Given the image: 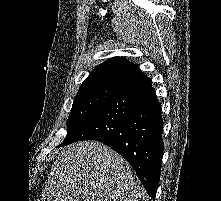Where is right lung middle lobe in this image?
Here are the masks:
<instances>
[{
    "mask_svg": "<svg viewBox=\"0 0 221 201\" xmlns=\"http://www.w3.org/2000/svg\"><path fill=\"white\" fill-rule=\"evenodd\" d=\"M119 89L111 87H91L79 89L67 122V135L72 137L77 130Z\"/></svg>",
    "mask_w": 221,
    "mask_h": 201,
    "instance_id": "obj_1",
    "label": "right lung middle lobe"
}]
</instances>
